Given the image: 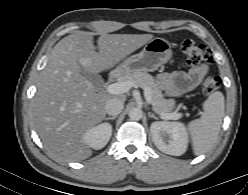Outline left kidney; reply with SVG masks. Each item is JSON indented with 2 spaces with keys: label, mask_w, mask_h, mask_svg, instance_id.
Instances as JSON below:
<instances>
[{
  "label": "left kidney",
  "mask_w": 248,
  "mask_h": 195,
  "mask_svg": "<svg viewBox=\"0 0 248 195\" xmlns=\"http://www.w3.org/2000/svg\"><path fill=\"white\" fill-rule=\"evenodd\" d=\"M152 140L162 152L180 156L185 153L188 146V134L183 123L158 121L150 127Z\"/></svg>",
  "instance_id": "1"
}]
</instances>
